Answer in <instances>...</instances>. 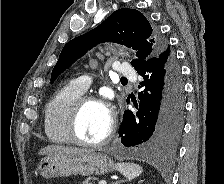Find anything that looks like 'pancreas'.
Returning a JSON list of instances; mask_svg holds the SVG:
<instances>
[{
	"label": "pancreas",
	"mask_w": 224,
	"mask_h": 184,
	"mask_svg": "<svg viewBox=\"0 0 224 184\" xmlns=\"http://www.w3.org/2000/svg\"><path fill=\"white\" fill-rule=\"evenodd\" d=\"M81 184H92V179H87L83 181Z\"/></svg>",
	"instance_id": "1"
}]
</instances>
